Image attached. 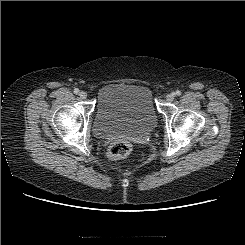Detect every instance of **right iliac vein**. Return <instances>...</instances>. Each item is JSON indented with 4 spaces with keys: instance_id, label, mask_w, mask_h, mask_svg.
<instances>
[{
    "instance_id": "1",
    "label": "right iliac vein",
    "mask_w": 245,
    "mask_h": 245,
    "mask_svg": "<svg viewBox=\"0 0 245 245\" xmlns=\"http://www.w3.org/2000/svg\"><path fill=\"white\" fill-rule=\"evenodd\" d=\"M81 99H86L87 98V93L85 91L80 92L79 94Z\"/></svg>"
}]
</instances>
